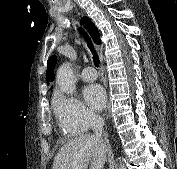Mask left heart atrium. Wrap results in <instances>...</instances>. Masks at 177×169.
<instances>
[{
	"mask_svg": "<svg viewBox=\"0 0 177 169\" xmlns=\"http://www.w3.org/2000/svg\"><path fill=\"white\" fill-rule=\"evenodd\" d=\"M83 96L87 105L95 110H102L107 102L106 92L102 86L98 84H91L84 88Z\"/></svg>",
	"mask_w": 177,
	"mask_h": 169,
	"instance_id": "left-heart-atrium-1",
	"label": "left heart atrium"
}]
</instances>
